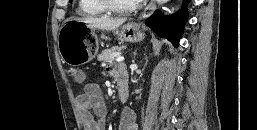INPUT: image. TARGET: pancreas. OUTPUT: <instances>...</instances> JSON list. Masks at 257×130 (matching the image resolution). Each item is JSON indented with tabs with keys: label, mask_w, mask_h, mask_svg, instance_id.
<instances>
[{
	"label": "pancreas",
	"mask_w": 257,
	"mask_h": 130,
	"mask_svg": "<svg viewBox=\"0 0 257 130\" xmlns=\"http://www.w3.org/2000/svg\"><path fill=\"white\" fill-rule=\"evenodd\" d=\"M125 47L113 46L110 49H105L98 55V61H102L105 64H113L116 58V53L124 49Z\"/></svg>",
	"instance_id": "cf45deb5"
}]
</instances>
